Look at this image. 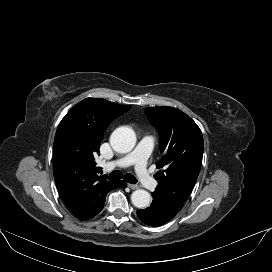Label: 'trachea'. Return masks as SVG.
Wrapping results in <instances>:
<instances>
[{"mask_svg": "<svg viewBox=\"0 0 272 272\" xmlns=\"http://www.w3.org/2000/svg\"><path fill=\"white\" fill-rule=\"evenodd\" d=\"M113 178L121 179L123 178L126 182L131 183V184H136L137 179L132 175V174H125L123 175L121 171L115 170L109 174Z\"/></svg>", "mask_w": 272, "mask_h": 272, "instance_id": "3493384b", "label": "trachea"}]
</instances>
